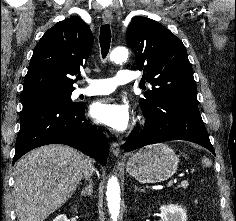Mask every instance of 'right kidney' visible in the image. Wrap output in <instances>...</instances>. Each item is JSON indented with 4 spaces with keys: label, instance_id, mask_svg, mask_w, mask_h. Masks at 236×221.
<instances>
[{
    "label": "right kidney",
    "instance_id": "1",
    "mask_svg": "<svg viewBox=\"0 0 236 221\" xmlns=\"http://www.w3.org/2000/svg\"><path fill=\"white\" fill-rule=\"evenodd\" d=\"M53 221H69V220L67 219L66 215L61 214V215L57 216Z\"/></svg>",
    "mask_w": 236,
    "mask_h": 221
}]
</instances>
